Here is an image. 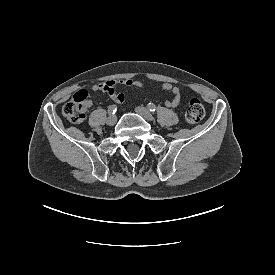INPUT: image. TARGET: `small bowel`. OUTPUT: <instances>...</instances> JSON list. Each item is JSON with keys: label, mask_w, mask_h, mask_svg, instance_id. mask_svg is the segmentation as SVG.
Wrapping results in <instances>:
<instances>
[{"label": "small bowel", "mask_w": 275, "mask_h": 275, "mask_svg": "<svg viewBox=\"0 0 275 275\" xmlns=\"http://www.w3.org/2000/svg\"><path fill=\"white\" fill-rule=\"evenodd\" d=\"M116 85H124V86H133L137 88L144 87V83L140 80L125 78L119 80H108L106 82L97 83L92 86V91L94 92H105L107 93L112 101L116 103H122L125 101V95L120 93L116 89ZM161 89L165 92L170 94L172 97L165 100V106L169 108H176L179 107L182 101L180 89L171 84V83H163ZM91 105V100H89L88 106Z\"/></svg>", "instance_id": "c3829d8e"}]
</instances>
